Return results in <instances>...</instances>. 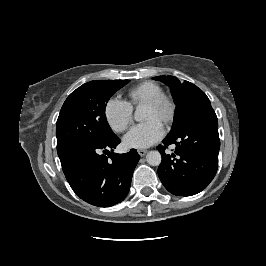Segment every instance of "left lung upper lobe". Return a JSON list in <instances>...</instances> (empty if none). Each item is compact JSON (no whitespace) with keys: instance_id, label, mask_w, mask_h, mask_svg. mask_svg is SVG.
Masks as SVG:
<instances>
[{"instance_id":"left-lung-upper-lobe-1","label":"left lung upper lobe","mask_w":266,"mask_h":266,"mask_svg":"<svg viewBox=\"0 0 266 266\" xmlns=\"http://www.w3.org/2000/svg\"><path fill=\"white\" fill-rule=\"evenodd\" d=\"M153 79L160 80L170 87L176 103L174 120L168 136L177 134L193 120L214 111L206 94L196 85L188 81L181 83L174 76H157Z\"/></svg>"}]
</instances>
